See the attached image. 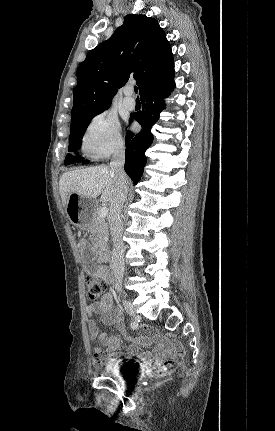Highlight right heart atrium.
Returning a JSON list of instances; mask_svg holds the SVG:
<instances>
[{"instance_id":"d8ad5b80","label":"right heart atrium","mask_w":275,"mask_h":431,"mask_svg":"<svg viewBox=\"0 0 275 431\" xmlns=\"http://www.w3.org/2000/svg\"><path fill=\"white\" fill-rule=\"evenodd\" d=\"M124 147V139L118 118L108 111L95 115L82 138V149L93 159H102Z\"/></svg>"}]
</instances>
